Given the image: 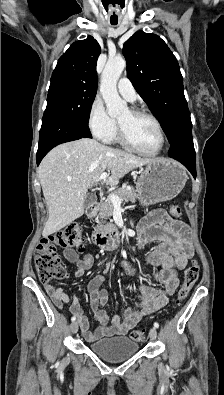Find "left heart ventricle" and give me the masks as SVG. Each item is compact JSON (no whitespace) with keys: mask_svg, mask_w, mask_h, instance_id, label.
I'll return each instance as SVG.
<instances>
[{"mask_svg":"<svg viewBox=\"0 0 224 395\" xmlns=\"http://www.w3.org/2000/svg\"><path fill=\"white\" fill-rule=\"evenodd\" d=\"M117 120L126 129L130 139L140 149L154 152L160 145V135L155 123L146 116L133 115L129 110Z\"/></svg>","mask_w":224,"mask_h":395,"instance_id":"b2bd125f","label":"left heart ventricle"}]
</instances>
